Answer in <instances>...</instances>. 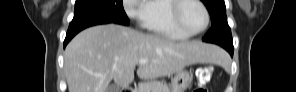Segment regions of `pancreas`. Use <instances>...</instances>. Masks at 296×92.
<instances>
[{
    "label": "pancreas",
    "instance_id": "cf45deb5",
    "mask_svg": "<svg viewBox=\"0 0 296 92\" xmlns=\"http://www.w3.org/2000/svg\"><path fill=\"white\" fill-rule=\"evenodd\" d=\"M136 92H170L168 85L162 81L151 80L139 83Z\"/></svg>",
    "mask_w": 296,
    "mask_h": 92
}]
</instances>
